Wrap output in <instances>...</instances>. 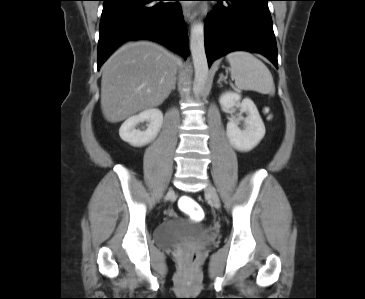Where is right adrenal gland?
I'll return each mask as SVG.
<instances>
[{"label":"right adrenal gland","mask_w":365,"mask_h":299,"mask_svg":"<svg viewBox=\"0 0 365 299\" xmlns=\"http://www.w3.org/2000/svg\"><path fill=\"white\" fill-rule=\"evenodd\" d=\"M175 88H176V77H175V79H174V84H173L172 90L174 91V90H175Z\"/></svg>","instance_id":"2a0ac1e0"}]
</instances>
